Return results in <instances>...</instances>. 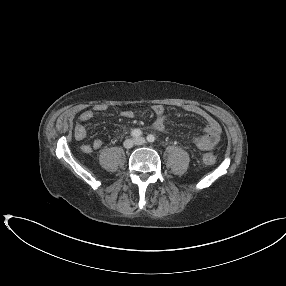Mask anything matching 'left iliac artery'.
Masks as SVG:
<instances>
[{
	"mask_svg": "<svg viewBox=\"0 0 286 286\" xmlns=\"http://www.w3.org/2000/svg\"><path fill=\"white\" fill-rule=\"evenodd\" d=\"M147 141L150 142V143H153L155 142V136L150 134L147 136Z\"/></svg>",
	"mask_w": 286,
	"mask_h": 286,
	"instance_id": "obj_1",
	"label": "left iliac artery"
}]
</instances>
